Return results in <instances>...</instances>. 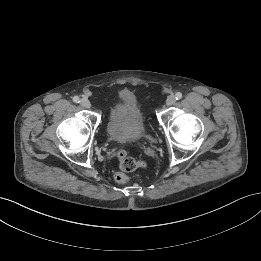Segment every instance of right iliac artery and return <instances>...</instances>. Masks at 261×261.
I'll return each instance as SVG.
<instances>
[{
  "label": "right iliac artery",
  "instance_id": "right-iliac-artery-1",
  "mask_svg": "<svg viewBox=\"0 0 261 261\" xmlns=\"http://www.w3.org/2000/svg\"><path fill=\"white\" fill-rule=\"evenodd\" d=\"M79 100H80V99H79L78 96L73 97V101H74L75 103H79V102H80Z\"/></svg>",
  "mask_w": 261,
  "mask_h": 261
}]
</instances>
